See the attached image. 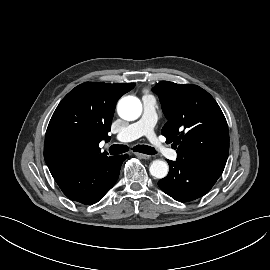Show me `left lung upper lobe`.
Instances as JSON below:
<instances>
[{
    "label": "left lung upper lobe",
    "instance_id": "5c2ea615",
    "mask_svg": "<svg viewBox=\"0 0 270 270\" xmlns=\"http://www.w3.org/2000/svg\"><path fill=\"white\" fill-rule=\"evenodd\" d=\"M167 123L162 135L177 158L224 170L229 154L226 119L214 98L196 85L162 81L154 87Z\"/></svg>",
    "mask_w": 270,
    "mask_h": 270
}]
</instances>
